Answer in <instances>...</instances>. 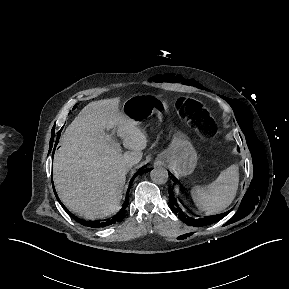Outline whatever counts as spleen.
Here are the masks:
<instances>
[{"label":"spleen","instance_id":"1","mask_svg":"<svg viewBox=\"0 0 289 289\" xmlns=\"http://www.w3.org/2000/svg\"><path fill=\"white\" fill-rule=\"evenodd\" d=\"M239 183L238 166L233 164L223 170L207 187H194L191 196L200 211L219 214L233 202Z\"/></svg>","mask_w":289,"mask_h":289}]
</instances>
